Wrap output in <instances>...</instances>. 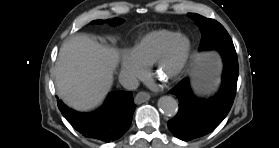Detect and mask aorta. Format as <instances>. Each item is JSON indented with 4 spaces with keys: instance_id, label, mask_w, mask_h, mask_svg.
<instances>
[{
    "instance_id": "762f6f07",
    "label": "aorta",
    "mask_w": 279,
    "mask_h": 148,
    "mask_svg": "<svg viewBox=\"0 0 279 148\" xmlns=\"http://www.w3.org/2000/svg\"><path fill=\"white\" fill-rule=\"evenodd\" d=\"M158 107L162 114L171 117L177 113L178 102L171 96H162L158 100Z\"/></svg>"
}]
</instances>
